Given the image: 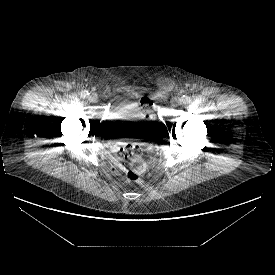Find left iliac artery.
Returning a JSON list of instances; mask_svg holds the SVG:
<instances>
[{"mask_svg":"<svg viewBox=\"0 0 275 275\" xmlns=\"http://www.w3.org/2000/svg\"><path fill=\"white\" fill-rule=\"evenodd\" d=\"M181 99H182V102H183L184 104H188V103H190V101H191V98H190L189 96H187V95H183V96L181 97Z\"/></svg>","mask_w":275,"mask_h":275,"instance_id":"left-iliac-artery-1","label":"left iliac artery"}]
</instances>
